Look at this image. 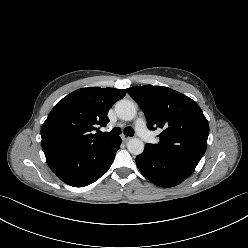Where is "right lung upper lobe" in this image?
I'll use <instances>...</instances> for the list:
<instances>
[{
  "label": "right lung upper lobe",
  "mask_w": 248,
  "mask_h": 248,
  "mask_svg": "<svg viewBox=\"0 0 248 248\" xmlns=\"http://www.w3.org/2000/svg\"><path fill=\"white\" fill-rule=\"evenodd\" d=\"M125 94L123 89L90 87L64 97L42 125L44 154L86 151L110 142L114 137H100L92 131L106 126L109 109Z\"/></svg>",
  "instance_id": "right-lung-upper-lobe-1"
}]
</instances>
